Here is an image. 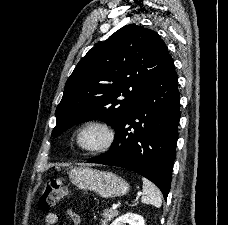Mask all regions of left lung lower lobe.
Instances as JSON below:
<instances>
[{"instance_id": "1", "label": "left lung lower lobe", "mask_w": 228, "mask_h": 225, "mask_svg": "<svg viewBox=\"0 0 228 225\" xmlns=\"http://www.w3.org/2000/svg\"><path fill=\"white\" fill-rule=\"evenodd\" d=\"M177 83L171 58L120 120L110 150L87 162L134 171L158 186L166 200L180 119Z\"/></svg>"}]
</instances>
